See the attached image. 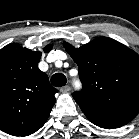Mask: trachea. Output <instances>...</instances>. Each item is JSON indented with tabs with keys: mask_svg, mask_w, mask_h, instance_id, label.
<instances>
[{
	"mask_svg": "<svg viewBox=\"0 0 139 139\" xmlns=\"http://www.w3.org/2000/svg\"><path fill=\"white\" fill-rule=\"evenodd\" d=\"M66 82H67L66 76L62 73H55L51 77V83L55 87H62L66 84Z\"/></svg>",
	"mask_w": 139,
	"mask_h": 139,
	"instance_id": "obj_1",
	"label": "trachea"
}]
</instances>
